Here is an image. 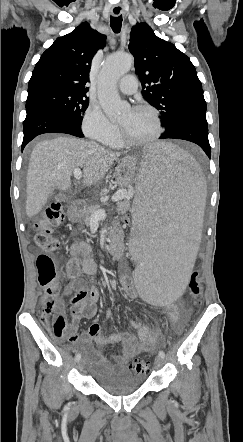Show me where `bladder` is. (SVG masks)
<instances>
[{
    "mask_svg": "<svg viewBox=\"0 0 243 442\" xmlns=\"http://www.w3.org/2000/svg\"><path fill=\"white\" fill-rule=\"evenodd\" d=\"M92 374L94 382L102 390L114 396L128 395L143 384V380L134 372L118 369L113 365L95 367Z\"/></svg>",
    "mask_w": 243,
    "mask_h": 442,
    "instance_id": "1",
    "label": "bladder"
}]
</instances>
